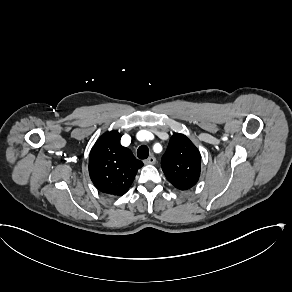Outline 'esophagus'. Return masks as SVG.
<instances>
[{
    "instance_id": "obj_1",
    "label": "esophagus",
    "mask_w": 292,
    "mask_h": 292,
    "mask_svg": "<svg viewBox=\"0 0 292 292\" xmlns=\"http://www.w3.org/2000/svg\"><path fill=\"white\" fill-rule=\"evenodd\" d=\"M143 162H144V164H155L156 158L151 156L148 159L144 160Z\"/></svg>"
}]
</instances>
